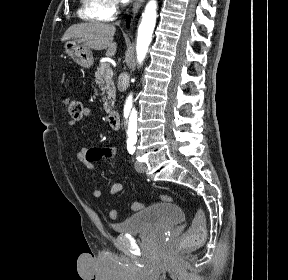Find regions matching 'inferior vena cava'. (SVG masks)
Here are the masks:
<instances>
[{
    "mask_svg": "<svg viewBox=\"0 0 288 280\" xmlns=\"http://www.w3.org/2000/svg\"><path fill=\"white\" fill-rule=\"evenodd\" d=\"M128 75L126 73H121L118 78V90H127L128 85Z\"/></svg>",
    "mask_w": 288,
    "mask_h": 280,
    "instance_id": "obj_1",
    "label": "inferior vena cava"
}]
</instances>
